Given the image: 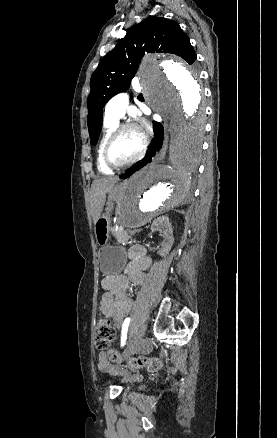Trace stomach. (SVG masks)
<instances>
[{"label":"stomach","instance_id":"obj_1","mask_svg":"<svg viewBox=\"0 0 277 438\" xmlns=\"http://www.w3.org/2000/svg\"><path fill=\"white\" fill-rule=\"evenodd\" d=\"M120 195V187L115 186L108 192L109 202L98 221L95 223V235L100 250L98 253L100 267L104 274H117L122 271L126 263L125 251L119 246L108 244L109 232L111 230V209L113 201L117 200Z\"/></svg>","mask_w":277,"mask_h":438}]
</instances>
